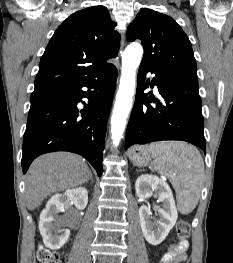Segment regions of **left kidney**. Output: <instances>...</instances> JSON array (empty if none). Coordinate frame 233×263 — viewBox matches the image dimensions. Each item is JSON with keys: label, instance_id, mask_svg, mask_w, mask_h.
<instances>
[{"label": "left kidney", "instance_id": "obj_1", "mask_svg": "<svg viewBox=\"0 0 233 263\" xmlns=\"http://www.w3.org/2000/svg\"><path fill=\"white\" fill-rule=\"evenodd\" d=\"M136 195L146 200L153 194L158 202L163 203V208H158L160 219L158 223L153 222L150 206L142 205L139 208V217L142 233L151 245L160 244L175 225L178 212L169 185L155 175L144 174L135 182Z\"/></svg>", "mask_w": 233, "mask_h": 263}]
</instances>
